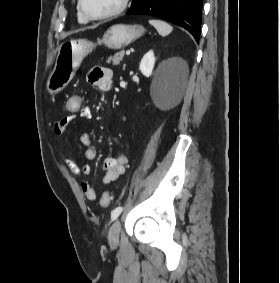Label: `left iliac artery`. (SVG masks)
I'll return each mask as SVG.
<instances>
[{
    "instance_id": "obj_1",
    "label": "left iliac artery",
    "mask_w": 280,
    "mask_h": 283,
    "mask_svg": "<svg viewBox=\"0 0 280 283\" xmlns=\"http://www.w3.org/2000/svg\"><path fill=\"white\" fill-rule=\"evenodd\" d=\"M122 211H123V207H121V206L115 208L111 213V220L112 221L116 220L119 217V215L121 214Z\"/></svg>"
}]
</instances>
